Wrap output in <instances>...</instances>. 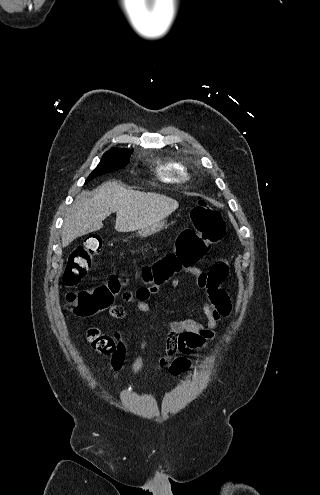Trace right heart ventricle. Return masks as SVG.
<instances>
[{"label":"right heart ventricle","mask_w":320,"mask_h":495,"mask_svg":"<svg viewBox=\"0 0 320 495\" xmlns=\"http://www.w3.org/2000/svg\"><path fill=\"white\" fill-rule=\"evenodd\" d=\"M157 171L161 179L167 182L187 180L190 176L188 166L175 158H166L157 163Z\"/></svg>","instance_id":"1"}]
</instances>
